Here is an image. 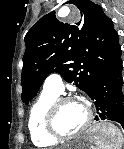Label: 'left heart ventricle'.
<instances>
[{
	"mask_svg": "<svg viewBox=\"0 0 124 149\" xmlns=\"http://www.w3.org/2000/svg\"><path fill=\"white\" fill-rule=\"evenodd\" d=\"M87 118V108L81 101H70L62 105L57 115V128L65 134L79 130Z\"/></svg>",
	"mask_w": 124,
	"mask_h": 149,
	"instance_id": "obj_1",
	"label": "left heart ventricle"
}]
</instances>
